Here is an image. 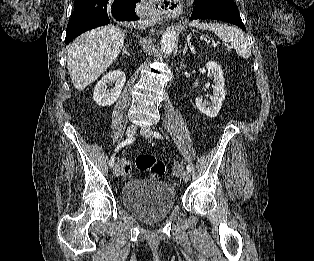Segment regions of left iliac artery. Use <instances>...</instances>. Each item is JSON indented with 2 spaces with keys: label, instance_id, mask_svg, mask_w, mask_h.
Returning a JSON list of instances; mask_svg holds the SVG:
<instances>
[{
  "label": "left iliac artery",
  "instance_id": "1",
  "mask_svg": "<svg viewBox=\"0 0 314 261\" xmlns=\"http://www.w3.org/2000/svg\"><path fill=\"white\" fill-rule=\"evenodd\" d=\"M153 135L155 138H158V139L162 138V135L159 132H153ZM186 169L188 172H191V170H192L190 165H187Z\"/></svg>",
  "mask_w": 314,
  "mask_h": 261
}]
</instances>
